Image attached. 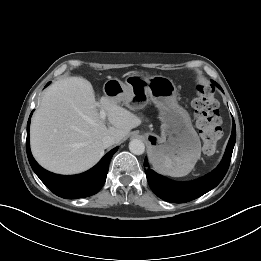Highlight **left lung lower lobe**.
<instances>
[{
    "label": "left lung lower lobe",
    "instance_id": "0a47b994",
    "mask_svg": "<svg viewBox=\"0 0 261 261\" xmlns=\"http://www.w3.org/2000/svg\"><path fill=\"white\" fill-rule=\"evenodd\" d=\"M236 141V127L233 120L232 134L229 139L224 157L219 166L208 175L190 182L171 181L151 169L146 170L147 181L152 191L161 199L171 203H185L194 200L214 187L224 178ZM147 167V160L144 162Z\"/></svg>",
    "mask_w": 261,
    "mask_h": 261
}]
</instances>
